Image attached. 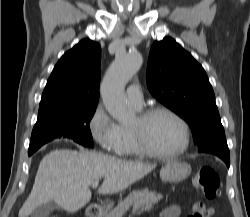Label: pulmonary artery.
<instances>
[{
  "mask_svg": "<svg viewBox=\"0 0 250 217\" xmlns=\"http://www.w3.org/2000/svg\"><path fill=\"white\" fill-rule=\"evenodd\" d=\"M129 103L136 109H140L143 104V93L141 87L136 84H130L126 90Z\"/></svg>",
  "mask_w": 250,
  "mask_h": 217,
  "instance_id": "pulmonary-artery-1",
  "label": "pulmonary artery"
}]
</instances>
